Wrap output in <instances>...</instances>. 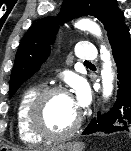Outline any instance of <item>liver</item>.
Returning <instances> with one entry per match:
<instances>
[{
  "instance_id": "obj_1",
  "label": "liver",
  "mask_w": 131,
  "mask_h": 151,
  "mask_svg": "<svg viewBox=\"0 0 131 151\" xmlns=\"http://www.w3.org/2000/svg\"><path fill=\"white\" fill-rule=\"evenodd\" d=\"M39 150H42V149H39ZM43 150L45 151V150H49V149H43Z\"/></svg>"
}]
</instances>
